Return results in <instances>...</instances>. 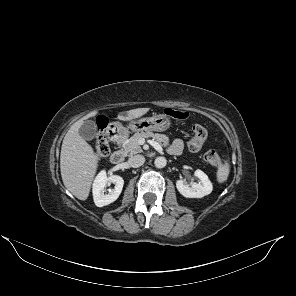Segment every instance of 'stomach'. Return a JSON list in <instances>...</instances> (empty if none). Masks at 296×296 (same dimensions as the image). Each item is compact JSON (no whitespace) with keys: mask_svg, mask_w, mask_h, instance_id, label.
<instances>
[{"mask_svg":"<svg viewBox=\"0 0 296 296\" xmlns=\"http://www.w3.org/2000/svg\"><path fill=\"white\" fill-rule=\"evenodd\" d=\"M170 119L164 114L154 115L152 117L141 118L129 123V128L135 132L144 131H165L170 127ZM119 129H124L120 123H116Z\"/></svg>","mask_w":296,"mask_h":296,"instance_id":"stomach-1","label":"stomach"}]
</instances>
